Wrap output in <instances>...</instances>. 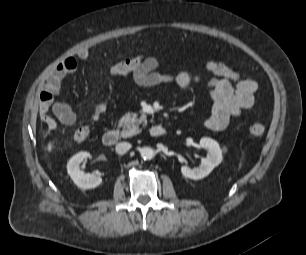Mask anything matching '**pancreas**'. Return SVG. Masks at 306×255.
Listing matches in <instances>:
<instances>
[{"label":"pancreas","mask_w":306,"mask_h":255,"mask_svg":"<svg viewBox=\"0 0 306 255\" xmlns=\"http://www.w3.org/2000/svg\"><path fill=\"white\" fill-rule=\"evenodd\" d=\"M140 125H147L146 115L138 116L136 113L125 114L119 120V127H122L121 136L123 138L131 137L141 131Z\"/></svg>","instance_id":"1"}]
</instances>
